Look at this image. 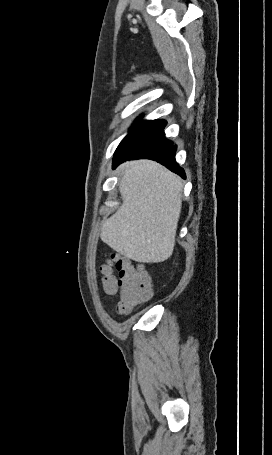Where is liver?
I'll return each instance as SVG.
<instances>
[{
  "label": "liver",
  "mask_w": 272,
  "mask_h": 455,
  "mask_svg": "<svg viewBox=\"0 0 272 455\" xmlns=\"http://www.w3.org/2000/svg\"><path fill=\"white\" fill-rule=\"evenodd\" d=\"M122 205L102 226L100 238L116 252L142 263L173 253L182 206L178 176L150 160L120 166Z\"/></svg>",
  "instance_id": "6515ba94"
}]
</instances>
